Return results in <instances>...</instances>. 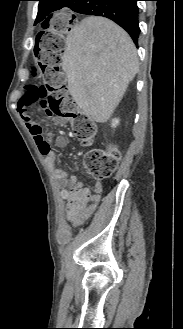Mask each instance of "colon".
<instances>
[{"mask_svg":"<svg viewBox=\"0 0 183 329\" xmlns=\"http://www.w3.org/2000/svg\"><path fill=\"white\" fill-rule=\"evenodd\" d=\"M79 19V14H46L42 25L37 26L33 36L38 39L33 47V62L28 71L40 74H28L27 86H22L18 114L32 116L37 113L45 118L69 120L74 135L88 143L94 137L95 126L86 114L76 108L67 90V74H63L60 68L62 38H75ZM40 149L43 153L49 151L48 140H42ZM121 157L120 150L114 145L94 148L85 154L84 166L93 178L103 180L115 172ZM64 194L70 202L80 203L78 191L72 189Z\"/></svg>","mask_w":183,"mask_h":329,"instance_id":"1","label":"colon"}]
</instances>
